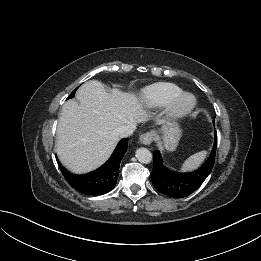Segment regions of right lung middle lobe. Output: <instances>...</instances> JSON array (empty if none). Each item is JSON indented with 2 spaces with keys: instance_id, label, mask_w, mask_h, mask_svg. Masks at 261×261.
<instances>
[{
  "instance_id": "right-lung-middle-lobe-1",
  "label": "right lung middle lobe",
  "mask_w": 261,
  "mask_h": 261,
  "mask_svg": "<svg viewBox=\"0 0 261 261\" xmlns=\"http://www.w3.org/2000/svg\"><path fill=\"white\" fill-rule=\"evenodd\" d=\"M76 90H77V88L70 94V96L67 98V99H69V98H73L74 97V95H75V92H76Z\"/></svg>"
}]
</instances>
